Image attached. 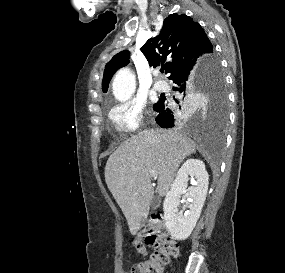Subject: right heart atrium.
<instances>
[{"label": "right heart atrium", "instance_id": "obj_1", "mask_svg": "<svg viewBox=\"0 0 285 273\" xmlns=\"http://www.w3.org/2000/svg\"><path fill=\"white\" fill-rule=\"evenodd\" d=\"M144 113V103L130 99L115 105L110 112V119L118 132L130 134L142 127Z\"/></svg>", "mask_w": 285, "mask_h": 273}]
</instances>
